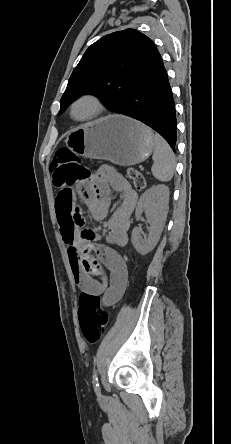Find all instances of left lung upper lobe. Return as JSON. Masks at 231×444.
I'll return each instance as SVG.
<instances>
[{
    "instance_id": "obj_1",
    "label": "left lung upper lobe",
    "mask_w": 231,
    "mask_h": 444,
    "mask_svg": "<svg viewBox=\"0 0 231 444\" xmlns=\"http://www.w3.org/2000/svg\"><path fill=\"white\" fill-rule=\"evenodd\" d=\"M159 54L155 44L135 29L108 34L85 52L61 97L59 114L77 97L94 94L119 112L146 67Z\"/></svg>"
}]
</instances>
